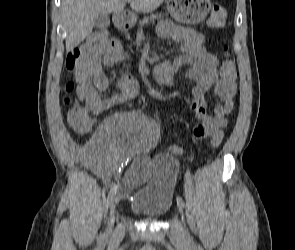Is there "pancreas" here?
I'll list each match as a JSON object with an SVG mask.
<instances>
[{"mask_svg": "<svg viewBox=\"0 0 295 250\" xmlns=\"http://www.w3.org/2000/svg\"><path fill=\"white\" fill-rule=\"evenodd\" d=\"M163 17V14H151L149 17H145L142 21L139 22L140 27H142L144 24L149 23V21L154 22L155 19H161Z\"/></svg>", "mask_w": 295, "mask_h": 250, "instance_id": "cf45deb5", "label": "pancreas"}]
</instances>
